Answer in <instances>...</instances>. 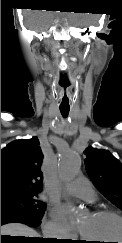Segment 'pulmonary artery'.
Instances as JSON below:
<instances>
[{
  "mask_svg": "<svg viewBox=\"0 0 122 243\" xmlns=\"http://www.w3.org/2000/svg\"><path fill=\"white\" fill-rule=\"evenodd\" d=\"M67 190L87 202H94L96 200L95 190L84 178H77L67 186Z\"/></svg>",
  "mask_w": 122,
  "mask_h": 243,
  "instance_id": "pulmonary-artery-1",
  "label": "pulmonary artery"
}]
</instances>
